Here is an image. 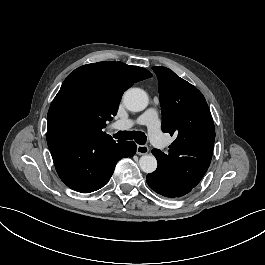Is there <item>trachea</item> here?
Wrapping results in <instances>:
<instances>
[{
    "mask_svg": "<svg viewBox=\"0 0 265 265\" xmlns=\"http://www.w3.org/2000/svg\"><path fill=\"white\" fill-rule=\"evenodd\" d=\"M114 138L126 140V139H134L138 144L142 145L146 143V135L141 131H119L114 134Z\"/></svg>",
    "mask_w": 265,
    "mask_h": 265,
    "instance_id": "obj_1",
    "label": "trachea"
}]
</instances>
